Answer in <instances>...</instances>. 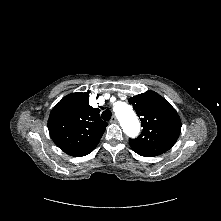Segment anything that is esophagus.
<instances>
[{
	"mask_svg": "<svg viewBox=\"0 0 221 221\" xmlns=\"http://www.w3.org/2000/svg\"><path fill=\"white\" fill-rule=\"evenodd\" d=\"M110 122L111 123H116L117 122V118L115 116H112Z\"/></svg>",
	"mask_w": 221,
	"mask_h": 221,
	"instance_id": "34e87169",
	"label": "esophagus"
}]
</instances>
